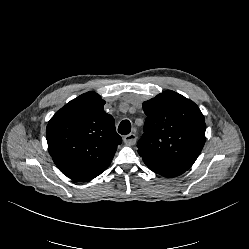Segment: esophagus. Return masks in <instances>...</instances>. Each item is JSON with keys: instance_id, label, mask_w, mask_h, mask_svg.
<instances>
[{"instance_id": "esophagus-1", "label": "esophagus", "mask_w": 249, "mask_h": 249, "mask_svg": "<svg viewBox=\"0 0 249 249\" xmlns=\"http://www.w3.org/2000/svg\"><path fill=\"white\" fill-rule=\"evenodd\" d=\"M123 141L126 145L128 146H132L136 143L137 141V136L133 133L128 134L126 136L123 137Z\"/></svg>"}]
</instances>
